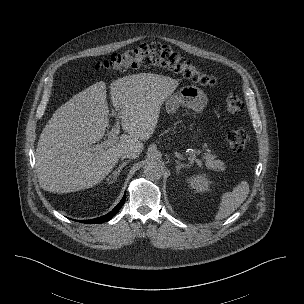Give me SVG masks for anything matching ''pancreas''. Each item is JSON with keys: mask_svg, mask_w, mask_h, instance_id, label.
<instances>
[{"mask_svg": "<svg viewBox=\"0 0 304 304\" xmlns=\"http://www.w3.org/2000/svg\"><path fill=\"white\" fill-rule=\"evenodd\" d=\"M204 157L207 161L208 167L212 168L213 170L219 171L224 167L223 162L217 159V155L211 153L209 150L207 153H205Z\"/></svg>", "mask_w": 304, "mask_h": 304, "instance_id": "pancreas-1", "label": "pancreas"}]
</instances>
